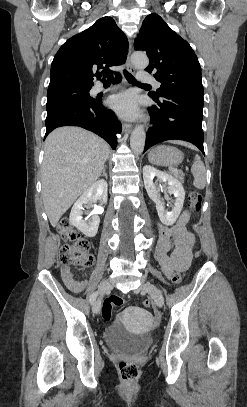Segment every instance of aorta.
<instances>
[{
	"mask_svg": "<svg viewBox=\"0 0 247 407\" xmlns=\"http://www.w3.org/2000/svg\"><path fill=\"white\" fill-rule=\"evenodd\" d=\"M131 62L133 66L137 69H144L148 66L149 60L145 53L134 52L131 55ZM146 134L142 125H137L130 137V146L132 151L138 155L141 154L145 146Z\"/></svg>",
	"mask_w": 247,
	"mask_h": 407,
	"instance_id": "aorta-1",
	"label": "aorta"
}]
</instances>
